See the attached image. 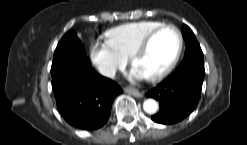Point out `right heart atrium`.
<instances>
[{"label": "right heart atrium", "mask_w": 247, "mask_h": 145, "mask_svg": "<svg viewBox=\"0 0 247 145\" xmlns=\"http://www.w3.org/2000/svg\"><path fill=\"white\" fill-rule=\"evenodd\" d=\"M90 59L97 69L105 76L112 77L117 70L123 68L127 62L108 40H94L90 45Z\"/></svg>", "instance_id": "1"}]
</instances>
